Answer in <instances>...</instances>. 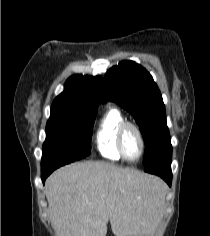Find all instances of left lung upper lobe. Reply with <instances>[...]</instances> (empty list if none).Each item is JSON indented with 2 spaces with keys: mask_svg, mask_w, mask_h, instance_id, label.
I'll list each match as a JSON object with an SVG mask.
<instances>
[{
  "mask_svg": "<svg viewBox=\"0 0 210 236\" xmlns=\"http://www.w3.org/2000/svg\"><path fill=\"white\" fill-rule=\"evenodd\" d=\"M101 100L119 103L134 117L145 142L144 166L171 147L161 93L141 65L122 61L109 69L104 77Z\"/></svg>",
  "mask_w": 210,
  "mask_h": 236,
  "instance_id": "5c2ea615",
  "label": "left lung upper lobe"
}]
</instances>
